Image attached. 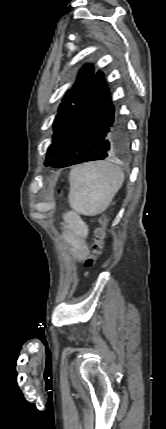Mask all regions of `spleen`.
<instances>
[{"label": "spleen", "mask_w": 166, "mask_h": 429, "mask_svg": "<svg viewBox=\"0 0 166 429\" xmlns=\"http://www.w3.org/2000/svg\"><path fill=\"white\" fill-rule=\"evenodd\" d=\"M124 178L123 170L110 162H89L72 168L70 207L86 216L100 214L109 207Z\"/></svg>", "instance_id": "1"}]
</instances>
